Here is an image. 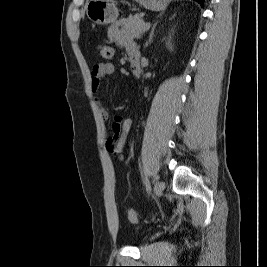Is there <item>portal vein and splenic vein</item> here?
I'll list each match as a JSON object with an SVG mask.
<instances>
[{
  "label": "portal vein and splenic vein",
  "instance_id": "portal-vein-and-splenic-vein-1",
  "mask_svg": "<svg viewBox=\"0 0 267 267\" xmlns=\"http://www.w3.org/2000/svg\"><path fill=\"white\" fill-rule=\"evenodd\" d=\"M151 26V23L150 22H147L144 26V31H147Z\"/></svg>",
  "mask_w": 267,
  "mask_h": 267
}]
</instances>
